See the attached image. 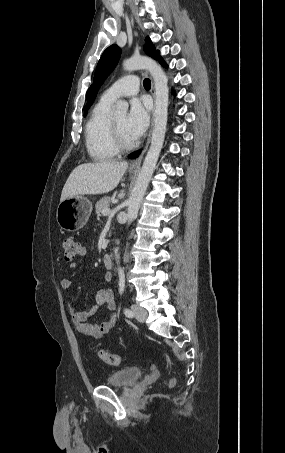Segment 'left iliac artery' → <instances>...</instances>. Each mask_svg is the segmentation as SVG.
<instances>
[{
  "instance_id": "1",
  "label": "left iliac artery",
  "mask_w": 285,
  "mask_h": 453,
  "mask_svg": "<svg viewBox=\"0 0 285 453\" xmlns=\"http://www.w3.org/2000/svg\"><path fill=\"white\" fill-rule=\"evenodd\" d=\"M124 289H125V275L123 272H120L119 273V294L120 295L123 294ZM124 314L129 318H132L134 316V313L130 309H127V308L124 309Z\"/></svg>"
}]
</instances>
